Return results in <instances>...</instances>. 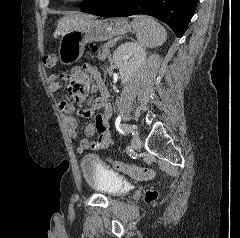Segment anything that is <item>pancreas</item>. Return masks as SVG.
Wrapping results in <instances>:
<instances>
[{"mask_svg":"<svg viewBox=\"0 0 240 238\" xmlns=\"http://www.w3.org/2000/svg\"><path fill=\"white\" fill-rule=\"evenodd\" d=\"M109 42L104 44L101 48V50L98 52V59L101 61H104L107 57L110 56V51H109Z\"/></svg>","mask_w":240,"mask_h":238,"instance_id":"1","label":"pancreas"}]
</instances>
